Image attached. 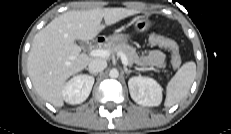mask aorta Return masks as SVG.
Returning <instances> with one entry per match:
<instances>
[{
    "label": "aorta",
    "mask_w": 231,
    "mask_h": 134,
    "mask_svg": "<svg viewBox=\"0 0 231 134\" xmlns=\"http://www.w3.org/2000/svg\"><path fill=\"white\" fill-rule=\"evenodd\" d=\"M109 76L111 78H118V76H119L118 70L117 69H111L109 72Z\"/></svg>",
    "instance_id": "obj_1"
}]
</instances>
